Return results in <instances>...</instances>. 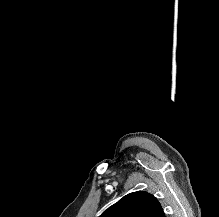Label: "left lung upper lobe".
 I'll use <instances>...</instances> for the list:
<instances>
[{"mask_svg": "<svg viewBox=\"0 0 219 217\" xmlns=\"http://www.w3.org/2000/svg\"><path fill=\"white\" fill-rule=\"evenodd\" d=\"M100 217H166L158 200L150 193H129Z\"/></svg>", "mask_w": 219, "mask_h": 217, "instance_id": "left-lung-upper-lobe-1", "label": "left lung upper lobe"}]
</instances>
